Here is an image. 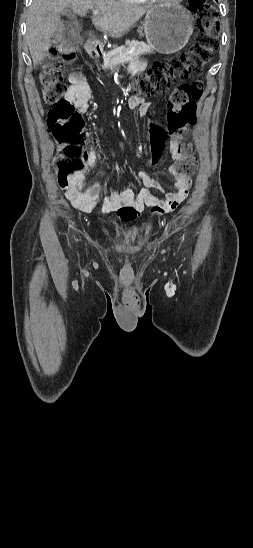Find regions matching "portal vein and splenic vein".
<instances>
[{"mask_svg": "<svg viewBox=\"0 0 253 548\" xmlns=\"http://www.w3.org/2000/svg\"><path fill=\"white\" fill-rule=\"evenodd\" d=\"M93 14H94L95 16H97V15L100 14V12H99L98 10H93ZM129 60H131L130 57L121 59L120 62H121V63H125V62H128Z\"/></svg>", "mask_w": 253, "mask_h": 548, "instance_id": "portal-vein-and-splenic-vein-1", "label": "portal vein and splenic vein"}]
</instances>
